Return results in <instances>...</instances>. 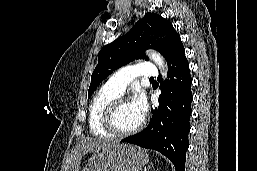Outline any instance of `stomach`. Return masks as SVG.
Masks as SVG:
<instances>
[{
	"label": "stomach",
	"mask_w": 257,
	"mask_h": 171,
	"mask_svg": "<svg viewBox=\"0 0 257 171\" xmlns=\"http://www.w3.org/2000/svg\"><path fill=\"white\" fill-rule=\"evenodd\" d=\"M147 163L145 150L117 143L94 152L83 171H141Z\"/></svg>",
	"instance_id": "stomach-1"
}]
</instances>
